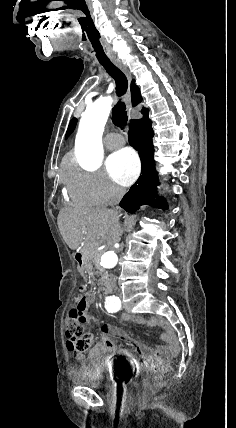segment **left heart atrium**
Masks as SVG:
<instances>
[{"label": "left heart atrium", "mask_w": 236, "mask_h": 428, "mask_svg": "<svg viewBox=\"0 0 236 428\" xmlns=\"http://www.w3.org/2000/svg\"><path fill=\"white\" fill-rule=\"evenodd\" d=\"M107 170L110 177L117 183L128 186L139 175L140 163L136 153L130 148H124L113 155L107 161Z\"/></svg>", "instance_id": "left-heart-atrium-1"}]
</instances>
